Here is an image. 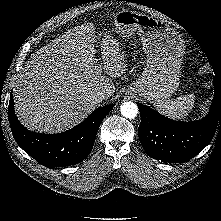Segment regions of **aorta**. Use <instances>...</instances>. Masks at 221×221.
<instances>
[{
    "instance_id": "762f6f07",
    "label": "aorta",
    "mask_w": 221,
    "mask_h": 221,
    "mask_svg": "<svg viewBox=\"0 0 221 221\" xmlns=\"http://www.w3.org/2000/svg\"><path fill=\"white\" fill-rule=\"evenodd\" d=\"M121 114L128 119L135 118L138 114V107L133 102H124L121 107Z\"/></svg>"
}]
</instances>
